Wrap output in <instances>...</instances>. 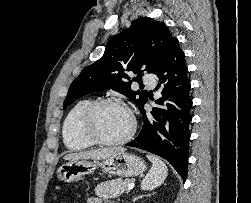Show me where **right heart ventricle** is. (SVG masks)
<instances>
[{
	"label": "right heart ventricle",
	"mask_w": 251,
	"mask_h": 203,
	"mask_svg": "<svg viewBox=\"0 0 251 203\" xmlns=\"http://www.w3.org/2000/svg\"><path fill=\"white\" fill-rule=\"evenodd\" d=\"M92 102L90 99L75 103L66 114L62 125V137L65 146L72 151H81L90 148L93 143L85 138L80 131L82 113Z\"/></svg>",
	"instance_id": "right-heart-ventricle-1"
}]
</instances>
